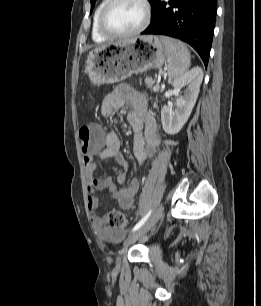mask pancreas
Masks as SVG:
<instances>
[{
  "label": "pancreas",
  "mask_w": 261,
  "mask_h": 306,
  "mask_svg": "<svg viewBox=\"0 0 261 306\" xmlns=\"http://www.w3.org/2000/svg\"><path fill=\"white\" fill-rule=\"evenodd\" d=\"M145 83L146 85L149 87V88H152L154 92H158L159 91V84L157 83L154 87L152 86V80L151 79H146L145 80Z\"/></svg>",
  "instance_id": "pancreas-1"
}]
</instances>
